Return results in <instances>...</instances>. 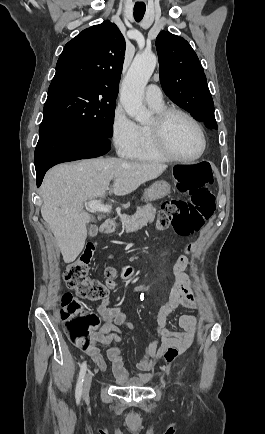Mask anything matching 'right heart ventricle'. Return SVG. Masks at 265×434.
I'll list each match as a JSON object with an SVG mask.
<instances>
[{
    "mask_svg": "<svg viewBox=\"0 0 265 434\" xmlns=\"http://www.w3.org/2000/svg\"><path fill=\"white\" fill-rule=\"evenodd\" d=\"M150 107L156 115L165 108L162 102L150 105ZM152 123L153 121L150 124L139 125V143L135 148L134 154H129V160L143 163H166L170 161L157 146Z\"/></svg>",
    "mask_w": 265,
    "mask_h": 434,
    "instance_id": "e07e8e85",
    "label": "right heart ventricle"
}]
</instances>
